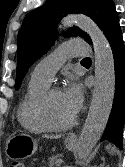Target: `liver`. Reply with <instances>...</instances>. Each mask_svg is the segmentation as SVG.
Wrapping results in <instances>:
<instances>
[{
  "mask_svg": "<svg viewBox=\"0 0 125 167\" xmlns=\"http://www.w3.org/2000/svg\"><path fill=\"white\" fill-rule=\"evenodd\" d=\"M45 137H47V138H50V139H57V138H60V136H45Z\"/></svg>",
  "mask_w": 125,
  "mask_h": 167,
  "instance_id": "6515ba94",
  "label": "liver"
}]
</instances>
